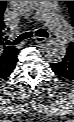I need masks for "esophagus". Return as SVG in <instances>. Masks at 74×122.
Wrapping results in <instances>:
<instances>
[{"label": "esophagus", "instance_id": "obj_1", "mask_svg": "<svg viewBox=\"0 0 74 122\" xmlns=\"http://www.w3.org/2000/svg\"><path fill=\"white\" fill-rule=\"evenodd\" d=\"M34 41L36 43H46L48 40H47L46 37H39V36H37V37L34 38Z\"/></svg>", "mask_w": 74, "mask_h": 122}]
</instances>
